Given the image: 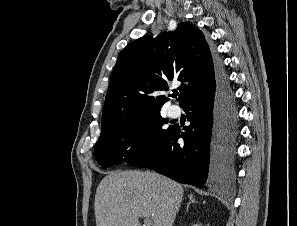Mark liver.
Wrapping results in <instances>:
<instances>
[{
	"label": "liver",
	"mask_w": 297,
	"mask_h": 226,
	"mask_svg": "<svg viewBox=\"0 0 297 226\" xmlns=\"http://www.w3.org/2000/svg\"><path fill=\"white\" fill-rule=\"evenodd\" d=\"M182 199V186L155 172L113 171L96 190V226H173Z\"/></svg>",
	"instance_id": "1"
}]
</instances>
